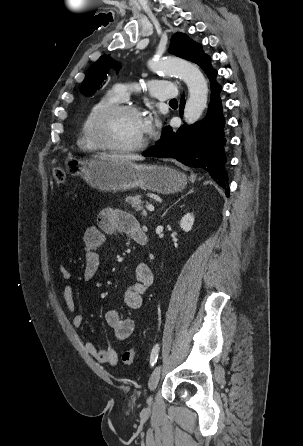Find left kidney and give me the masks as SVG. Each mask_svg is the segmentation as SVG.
<instances>
[{
    "label": "left kidney",
    "mask_w": 303,
    "mask_h": 446,
    "mask_svg": "<svg viewBox=\"0 0 303 446\" xmlns=\"http://www.w3.org/2000/svg\"><path fill=\"white\" fill-rule=\"evenodd\" d=\"M193 224L194 216L192 213L185 214L180 221V227L185 232L191 231Z\"/></svg>",
    "instance_id": "left-kidney-1"
}]
</instances>
